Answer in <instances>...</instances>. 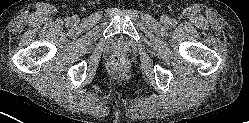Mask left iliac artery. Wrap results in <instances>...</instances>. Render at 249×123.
<instances>
[{
    "label": "left iliac artery",
    "mask_w": 249,
    "mask_h": 123,
    "mask_svg": "<svg viewBox=\"0 0 249 123\" xmlns=\"http://www.w3.org/2000/svg\"><path fill=\"white\" fill-rule=\"evenodd\" d=\"M176 23H177V22H176V20H174V19H172V20L170 21V24H171V25H176Z\"/></svg>",
    "instance_id": "obj_1"
}]
</instances>
